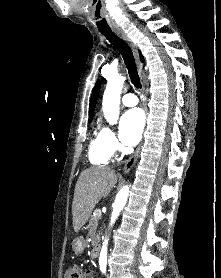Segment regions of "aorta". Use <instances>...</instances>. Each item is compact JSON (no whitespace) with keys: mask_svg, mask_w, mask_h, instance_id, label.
Here are the masks:
<instances>
[{"mask_svg":"<svg viewBox=\"0 0 221 278\" xmlns=\"http://www.w3.org/2000/svg\"><path fill=\"white\" fill-rule=\"evenodd\" d=\"M125 78L122 75H116L108 80L102 101V110L104 117L109 123H115L119 115L120 95L124 86ZM129 195V186H123L118 192L116 199L113 203V210L111 214L110 225H112L123 207L126 204ZM107 245L108 239L103 241L100 252L99 261L105 262L107 260Z\"/></svg>","mask_w":221,"mask_h":278,"instance_id":"1","label":"aorta"}]
</instances>
